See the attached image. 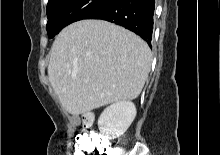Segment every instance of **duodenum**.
Returning <instances> with one entry per match:
<instances>
[{
  "mask_svg": "<svg viewBox=\"0 0 220 155\" xmlns=\"http://www.w3.org/2000/svg\"><path fill=\"white\" fill-rule=\"evenodd\" d=\"M91 121H92L91 115H87L85 120H84V123H85L86 126H89L91 124Z\"/></svg>",
  "mask_w": 220,
  "mask_h": 155,
  "instance_id": "obj_1",
  "label": "duodenum"
}]
</instances>
